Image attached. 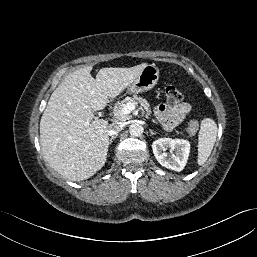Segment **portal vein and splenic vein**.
Returning <instances> with one entry per match:
<instances>
[{
    "mask_svg": "<svg viewBox=\"0 0 257 257\" xmlns=\"http://www.w3.org/2000/svg\"><path fill=\"white\" fill-rule=\"evenodd\" d=\"M136 105L133 104V103H127L123 110H122V113L125 114V115H128L129 113H131L134 109H135Z\"/></svg>",
    "mask_w": 257,
    "mask_h": 257,
    "instance_id": "18ae733b",
    "label": "portal vein and splenic vein"
}]
</instances>
